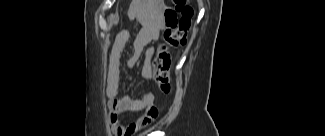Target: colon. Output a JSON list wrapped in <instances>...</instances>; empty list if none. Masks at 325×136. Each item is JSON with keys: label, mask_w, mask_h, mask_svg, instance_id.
Instances as JSON below:
<instances>
[{"label": "colon", "mask_w": 325, "mask_h": 136, "mask_svg": "<svg viewBox=\"0 0 325 136\" xmlns=\"http://www.w3.org/2000/svg\"><path fill=\"white\" fill-rule=\"evenodd\" d=\"M172 2L174 7L167 8L164 12L163 41L158 45L152 61L153 77L164 94H168L171 90L169 48L185 46L188 43L193 16V9L188 5L187 0H172Z\"/></svg>", "instance_id": "1"}]
</instances>
